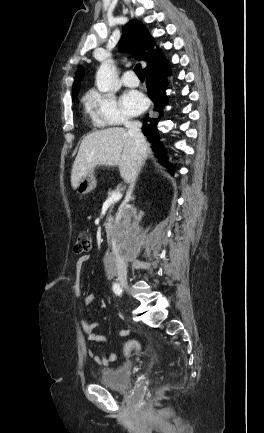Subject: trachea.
<instances>
[{"instance_id": "1", "label": "trachea", "mask_w": 264, "mask_h": 433, "mask_svg": "<svg viewBox=\"0 0 264 433\" xmlns=\"http://www.w3.org/2000/svg\"><path fill=\"white\" fill-rule=\"evenodd\" d=\"M134 72L136 73V75H137L139 78H144V74H143L142 69H141V66H140L139 64L135 66V68H134Z\"/></svg>"}]
</instances>
